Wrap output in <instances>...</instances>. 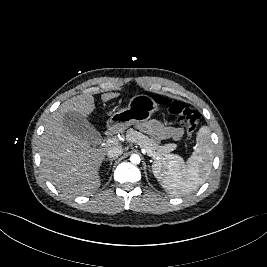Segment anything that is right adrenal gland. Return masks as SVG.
Segmentation results:
<instances>
[{
  "mask_svg": "<svg viewBox=\"0 0 267 267\" xmlns=\"http://www.w3.org/2000/svg\"><path fill=\"white\" fill-rule=\"evenodd\" d=\"M114 160H115V159H105L106 162H108V161L110 162V167H111V165H112V163H113ZM109 169H110V168H109Z\"/></svg>",
  "mask_w": 267,
  "mask_h": 267,
  "instance_id": "1",
  "label": "right adrenal gland"
}]
</instances>
